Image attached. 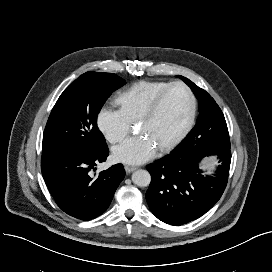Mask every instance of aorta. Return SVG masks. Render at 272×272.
<instances>
[{"label":"aorta","instance_id":"aorta-1","mask_svg":"<svg viewBox=\"0 0 272 272\" xmlns=\"http://www.w3.org/2000/svg\"><path fill=\"white\" fill-rule=\"evenodd\" d=\"M132 181L139 187H147L151 181V175L147 170H137L132 174Z\"/></svg>","mask_w":272,"mask_h":272}]
</instances>
